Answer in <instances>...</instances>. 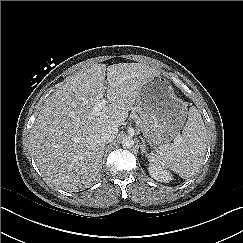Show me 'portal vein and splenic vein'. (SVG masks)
I'll use <instances>...</instances> for the list:
<instances>
[{
	"label": "portal vein and splenic vein",
	"instance_id": "1",
	"mask_svg": "<svg viewBox=\"0 0 243 243\" xmlns=\"http://www.w3.org/2000/svg\"><path fill=\"white\" fill-rule=\"evenodd\" d=\"M106 104H107V100H106L105 98L102 99L100 102H98V103L92 108L93 113H97V112L101 111V110L105 107Z\"/></svg>",
	"mask_w": 243,
	"mask_h": 243
}]
</instances>
